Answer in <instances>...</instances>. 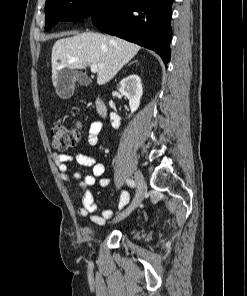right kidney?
Here are the masks:
<instances>
[{"label":"right kidney","mask_w":247,"mask_h":296,"mask_svg":"<svg viewBox=\"0 0 247 296\" xmlns=\"http://www.w3.org/2000/svg\"><path fill=\"white\" fill-rule=\"evenodd\" d=\"M119 91L128 98L131 113H134L140 105V99L143 94L140 77L132 74L122 79L119 84ZM110 120L112 127L118 129L120 126V117L115 113H110Z\"/></svg>","instance_id":"obj_1"}]
</instances>
